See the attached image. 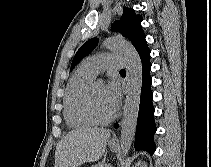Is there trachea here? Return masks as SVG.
Returning a JSON list of instances; mask_svg holds the SVG:
<instances>
[{
    "instance_id": "1",
    "label": "trachea",
    "mask_w": 211,
    "mask_h": 167,
    "mask_svg": "<svg viewBox=\"0 0 211 167\" xmlns=\"http://www.w3.org/2000/svg\"><path fill=\"white\" fill-rule=\"evenodd\" d=\"M121 71H122V72H125V70H124V69H122Z\"/></svg>"
}]
</instances>
